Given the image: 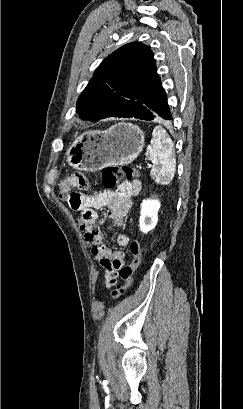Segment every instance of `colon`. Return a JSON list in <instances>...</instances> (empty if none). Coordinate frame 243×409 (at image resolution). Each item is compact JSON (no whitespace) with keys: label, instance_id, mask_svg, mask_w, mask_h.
<instances>
[{"label":"colon","instance_id":"obj_1","mask_svg":"<svg viewBox=\"0 0 243 409\" xmlns=\"http://www.w3.org/2000/svg\"><path fill=\"white\" fill-rule=\"evenodd\" d=\"M138 176V171L131 167L108 165L102 170V183L105 188L112 189L116 187L123 178L135 180ZM88 187L89 181L86 175L81 172H76L59 182V197L67 201L71 207H77L79 205V199L73 189L86 190ZM131 252L133 255L132 261L123 266L119 271L123 284L117 285L111 293L114 300L122 296L132 285L133 274L141 262V247L138 240H134L131 243Z\"/></svg>","mask_w":243,"mask_h":409}]
</instances>
